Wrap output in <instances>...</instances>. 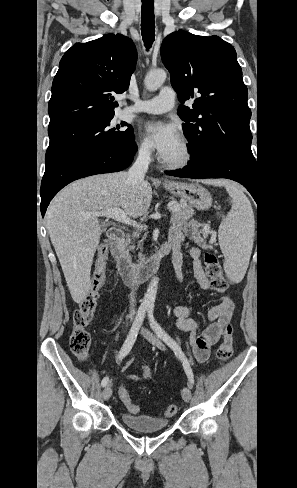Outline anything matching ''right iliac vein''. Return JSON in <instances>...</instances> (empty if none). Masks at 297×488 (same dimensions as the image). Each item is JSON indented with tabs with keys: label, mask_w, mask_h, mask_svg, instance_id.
I'll return each instance as SVG.
<instances>
[{
	"label": "right iliac vein",
	"mask_w": 297,
	"mask_h": 488,
	"mask_svg": "<svg viewBox=\"0 0 297 488\" xmlns=\"http://www.w3.org/2000/svg\"><path fill=\"white\" fill-rule=\"evenodd\" d=\"M102 395H103L104 400H108L111 397L112 389L109 385L104 388Z\"/></svg>",
	"instance_id": "obj_1"
}]
</instances>
